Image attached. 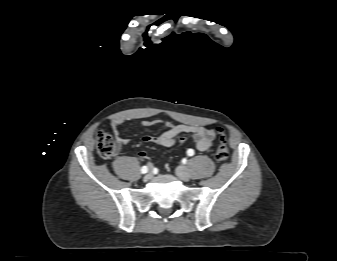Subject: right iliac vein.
<instances>
[{"label":"right iliac vein","mask_w":337,"mask_h":261,"mask_svg":"<svg viewBox=\"0 0 337 261\" xmlns=\"http://www.w3.org/2000/svg\"><path fill=\"white\" fill-rule=\"evenodd\" d=\"M152 177V172L149 171V173L144 177V181H148Z\"/></svg>","instance_id":"1"}]
</instances>
